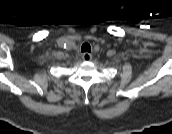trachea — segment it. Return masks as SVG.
<instances>
[{
    "label": "trachea",
    "instance_id": "obj_1",
    "mask_svg": "<svg viewBox=\"0 0 172 134\" xmlns=\"http://www.w3.org/2000/svg\"><path fill=\"white\" fill-rule=\"evenodd\" d=\"M82 52H91V46L89 43H84L81 47Z\"/></svg>",
    "mask_w": 172,
    "mask_h": 134
}]
</instances>
